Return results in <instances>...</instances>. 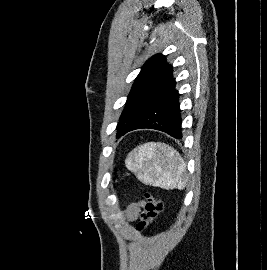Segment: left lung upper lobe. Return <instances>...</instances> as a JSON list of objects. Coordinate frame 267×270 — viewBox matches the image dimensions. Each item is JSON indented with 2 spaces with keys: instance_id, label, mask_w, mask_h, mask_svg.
Returning <instances> with one entry per match:
<instances>
[{
  "instance_id": "obj_1",
  "label": "left lung upper lobe",
  "mask_w": 267,
  "mask_h": 270,
  "mask_svg": "<svg viewBox=\"0 0 267 270\" xmlns=\"http://www.w3.org/2000/svg\"><path fill=\"white\" fill-rule=\"evenodd\" d=\"M172 65L156 54L146 61L135 79L125 108L117 124V135H123L155 101L172 79Z\"/></svg>"
}]
</instances>
